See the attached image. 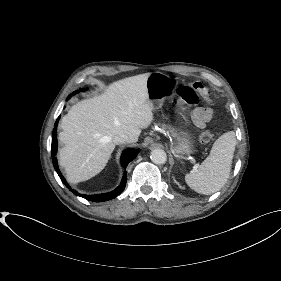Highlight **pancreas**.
Returning a JSON list of instances; mask_svg holds the SVG:
<instances>
[{"mask_svg": "<svg viewBox=\"0 0 281 281\" xmlns=\"http://www.w3.org/2000/svg\"><path fill=\"white\" fill-rule=\"evenodd\" d=\"M162 128H163V129L169 128V131H170V133L172 134V136H175V133H174V129H173V128H171V127H169V126H167V125H162Z\"/></svg>", "mask_w": 281, "mask_h": 281, "instance_id": "1", "label": "pancreas"}]
</instances>
